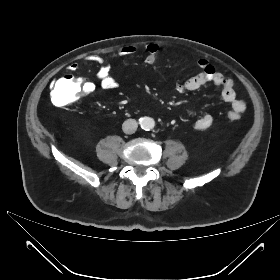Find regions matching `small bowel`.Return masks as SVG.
I'll use <instances>...</instances> for the list:
<instances>
[{
	"label": "small bowel",
	"mask_w": 280,
	"mask_h": 280,
	"mask_svg": "<svg viewBox=\"0 0 280 280\" xmlns=\"http://www.w3.org/2000/svg\"><path fill=\"white\" fill-rule=\"evenodd\" d=\"M139 52V48L134 45H126L120 48L118 51L110 55H92L88 58V61L92 63L100 64V67L96 73V81L100 87L105 89H113L118 86V81L111 74L108 59L111 57H131ZM145 62L147 64H153L157 60L158 46L155 44H149L146 46ZM198 65L201 68V72L186 81L176 85V90L179 93L185 91H195L203 87L206 84H214L222 88V99L230 104L232 110L228 113L229 119L232 115L237 114L240 116L246 110V102L236 97L234 91V83L230 77L223 75L217 71L212 64L206 59H200ZM79 66L77 63H71L68 66V70L76 72ZM96 89V83L90 80H84L81 82V93L84 95H91ZM233 120V119H231ZM213 124V117L209 114L203 115L194 123V129L197 131H204L210 128Z\"/></svg>",
	"instance_id": "small-bowel-1"
}]
</instances>
